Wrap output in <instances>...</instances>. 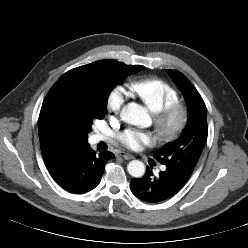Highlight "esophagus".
I'll use <instances>...</instances> for the list:
<instances>
[{
  "instance_id": "esophagus-1",
  "label": "esophagus",
  "mask_w": 248,
  "mask_h": 248,
  "mask_svg": "<svg viewBox=\"0 0 248 248\" xmlns=\"http://www.w3.org/2000/svg\"><path fill=\"white\" fill-rule=\"evenodd\" d=\"M117 157H122L124 158L125 160H130V159H133V155L129 154V153H126V152H118L116 154Z\"/></svg>"
}]
</instances>
